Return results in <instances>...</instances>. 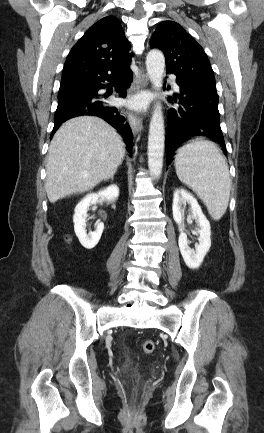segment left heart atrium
Returning <instances> with one entry per match:
<instances>
[{"label":"left heart atrium","mask_w":264,"mask_h":433,"mask_svg":"<svg viewBox=\"0 0 264 433\" xmlns=\"http://www.w3.org/2000/svg\"><path fill=\"white\" fill-rule=\"evenodd\" d=\"M147 102L146 97H139L132 102V105L135 107H143Z\"/></svg>","instance_id":"obj_1"}]
</instances>
